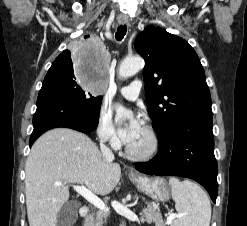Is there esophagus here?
<instances>
[{"mask_svg":"<svg viewBox=\"0 0 247 226\" xmlns=\"http://www.w3.org/2000/svg\"><path fill=\"white\" fill-rule=\"evenodd\" d=\"M120 23L125 24V23H127V20L126 19H122V20H120ZM130 173L134 174V172L132 170L130 171Z\"/></svg>","mask_w":247,"mask_h":226,"instance_id":"esophagus-1","label":"esophagus"}]
</instances>
